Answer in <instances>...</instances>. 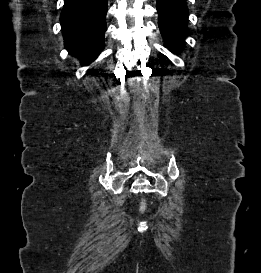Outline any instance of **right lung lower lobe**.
I'll return each instance as SVG.
<instances>
[{"mask_svg":"<svg viewBox=\"0 0 261 273\" xmlns=\"http://www.w3.org/2000/svg\"><path fill=\"white\" fill-rule=\"evenodd\" d=\"M107 0H64L60 23L65 48L81 64L92 62L104 48Z\"/></svg>","mask_w":261,"mask_h":273,"instance_id":"1","label":"right lung lower lobe"}]
</instances>
